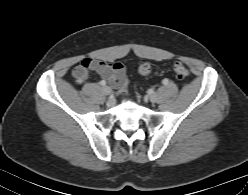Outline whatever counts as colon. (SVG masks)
<instances>
[{
  "mask_svg": "<svg viewBox=\"0 0 248 195\" xmlns=\"http://www.w3.org/2000/svg\"><path fill=\"white\" fill-rule=\"evenodd\" d=\"M82 67L84 69H87L89 67V61L87 60H84L82 63ZM138 72L140 75L146 77L148 75H150L151 73V65L149 62L147 61H142L139 66H138ZM173 72H174V75L175 77L180 80V81H183L187 78L189 72H188V69L186 68V66L180 62V61H176L174 64H173ZM84 70H77L75 72V74L77 76H83L84 75ZM128 82L126 79L122 80L119 84V87H118V91L119 93L121 94H126L128 92Z\"/></svg>",
  "mask_w": 248,
  "mask_h": 195,
  "instance_id": "obj_1",
  "label": "colon"
}]
</instances>
